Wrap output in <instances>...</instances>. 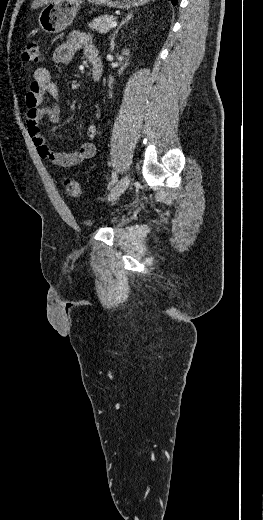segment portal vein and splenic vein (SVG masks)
Returning <instances> with one entry per match:
<instances>
[{
  "instance_id": "obj_1",
  "label": "portal vein and splenic vein",
  "mask_w": 263,
  "mask_h": 520,
  "mask_svg": "<svg viewBox=\"0 0 263 520\" xmlns=\"http://www.w3.org/2000/svg\"><path fill=\"white\" fill-rule=\"evenodd\" d=\"M111 27H116L117 26V22L116 21H113L110 25Z\"/></svg>"
}]
</instances>
